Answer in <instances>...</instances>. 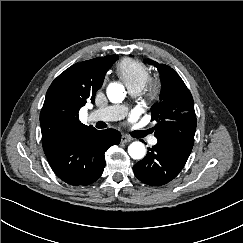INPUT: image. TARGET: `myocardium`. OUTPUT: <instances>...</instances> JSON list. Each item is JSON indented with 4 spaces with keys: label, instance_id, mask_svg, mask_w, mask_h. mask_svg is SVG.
Listing matches in <instances>:
<instances>
[{
    "label": "myocardium",
    "instance_id": "f54148a6",
    "mask_svg": "<svg viewBox=\"0 0 243 243\" xmlns=\"http://www.w3.org/2000/svg\"><path fill=\"white\" fill-rule=\"evenodd\" d=\"M159 91V82L156 80H150L147 83V96L149 98H154Z\"/></svg>",
    "mask_w": 243,
    "mask_h": 243
}]
</instances>
